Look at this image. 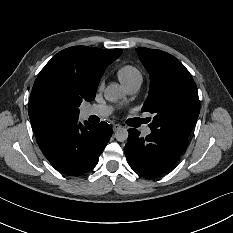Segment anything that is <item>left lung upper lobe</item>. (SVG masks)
I'll return each instance as SVG.
<instances>
[{"label":"left lung upper lobe","mask_w":233,"mask_h":233,"mask_svg":"<svg viewBox=\"0 0 233 233\" xmlns=\"http://www.w3.org/2000/svg\"><path fill=\"white\" fill-rule=\"evenodd\" d=\"M150 75V90L142 111L154 113L151 132L188 139L200 112L196 84L174 56L161 50L137 48Z\"/></svg>","instance_id":"obj_1"}]
</instances>
